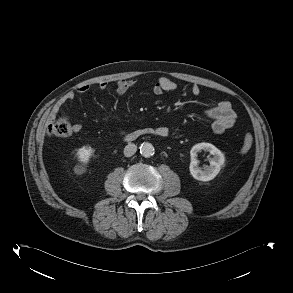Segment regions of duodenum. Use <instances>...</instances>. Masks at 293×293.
Returning <instances> with one entry per match:
<instances>
[{
	"label": "duodenum",
	"instance_id": "1",
	"mask_svg": "<svg viewBox=\"0 0 293 293\" xmlns=\"http://www.w3.org/2000/svg\"><path fill=\"white\" fill-rule=\"evenodd\" d=\"M147 134H156V131L153 128H143L131 132L125 136L126 141H133L139 138L140 136L147 135Z\"/></svg>",
	"mask_w": 293,
	"mask_h": 293
}]
</instances>
